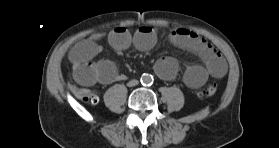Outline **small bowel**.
<instances>
[{
	"label": "small bowel",
	"mask_w": 279,
	"mask_h": 148,
	"mask_svg": "<svg viewBox=\"0 0 279 148\" xmlns=\"http://www.w3.org/2000/svg\"><path fill=\"white\" fill-rule=\"evenodd\" d=\"M102 33H93L77 42L69 51V60L73 67L74 79L82 86L94 84L109 85L121 78L115 64L107 59L93 61L102 51L99 40ZM170 40L176 46L188 50L204 62V65H190L184 73V82L190 88L202 86L208 78H222L227 72V64L221 54L205 39L187 29L171 32ZM157 35L149 26L140 27L134 34L126 28L118 27L108 34L111 48L120 53L134 45L141 51H147L156 44ZM155 71L165 80L172 79L178 70V63L172 57H162L155 63Z\"/></svg>",
	"instance_id": "small-bowel-1"
}]
</instances>
